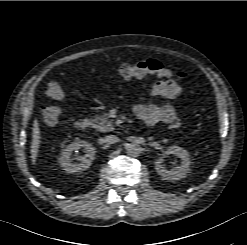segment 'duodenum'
I'll list each match as a JSON object with an SVG mask.
<instances>
[{
	"instance_id": "duodenum-1",
	"label": "duodenum",
	"mask_w": 247,
	"mask_h": 245,
	"mask_svg": "<svg viewBox=\"0 0 247 245\" xmlns=\"http://www.w3.org/2000/svg\"><path fill=\"white\" fill-rule=\"evenodd\" d=\"M90 126V121L87 118H80L76 122V127L80 130H85L89 128Z\"/></svg>"
}]
</instances>
